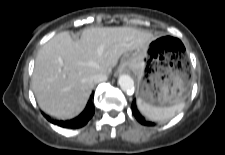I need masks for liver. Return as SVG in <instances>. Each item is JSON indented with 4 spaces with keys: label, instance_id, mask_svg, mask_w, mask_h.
<instances>
[{
    "label": "liver",
    "instance_id": "1",
    "mask_svg": "<svg viewBox=\"0 0 225 155\" xmlns=\"http://www.w3.org/2000/svg\"><path fill=\"white\" fill-rule=\"evenodd\" d=\"M155 40L152 33L132 27H92L74 41L68 32L52 37L39 50L32 88L40 108L67 119L86 106L94 76L110 74L119 58L132 51L145 53Z\"/></svg>",
    "mask_w": 225,
    "mask_h": 155
}]
</instances>
